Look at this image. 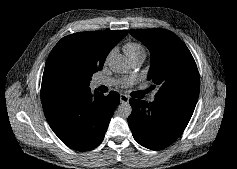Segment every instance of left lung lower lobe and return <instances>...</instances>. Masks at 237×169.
Instances as JSON below:
<instances>
[{"mask_svg": "<svg viewBox=\"0 0 237 169\" xmlns=\"http://www.w3.org/2000/svg\"><path fill=\"white\" fill-rule=\"evenodd\" d=\"M132 113L128 124L134 139L142 146L161 150L172 144L186 128L196 104L180 100L145 103L130 99Z\"/></svg>", "mask_w": 237, "mask_h": 169, "instance_id": "obj_1", "label": "left lung lower lobe"}]
</instances>
